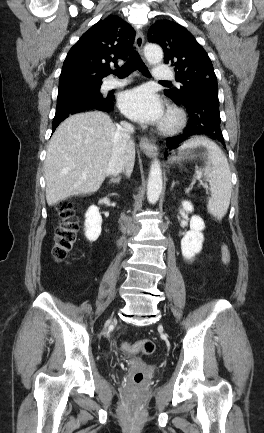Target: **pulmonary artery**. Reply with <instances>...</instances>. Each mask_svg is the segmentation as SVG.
I'll use <instances>...</instances> for the list:
<instances>
[{
  "mask_svg": "<svg viewBox=\"0 0 264 433\" xmlns=\"http://www.w3.org/2000/svg\"><path fill=\"white\" fill-rule=\"evenodd\" d=\"M173 78V72L163 66H156L154 68L153 79L155 80H170ZM126 83L125 80H108L105 83L106 89H113L117 87H121Z\"/></svg>",
  "mask_w": 264,
  "mask_h": 433,
  "instance_id": "pulmonary-artery-1",
  "label": "pulmonary artery"
}]
</instances>
